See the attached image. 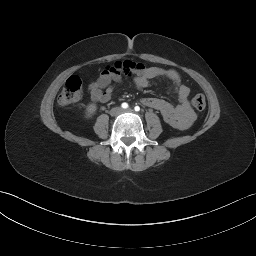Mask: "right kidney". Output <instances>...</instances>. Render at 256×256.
Masks as SVG:
<instances>
[{
  "label": "right kidney",
  "instance_id": "right-kidney-1",
  "mask_svg": "<svg viewBox=\"0 0 256 256\" xmlns=\"http://www.w3.org/2000/svg\"><path fill=\"white\" fill-rule=\"evenodd\" d=\"M96 104H89L86 108V118H90L92 117V115L95 113L96 111Z\"/></svg>",
  "mask_w": 256,
  "mask_h": 256
}]
</instances>
